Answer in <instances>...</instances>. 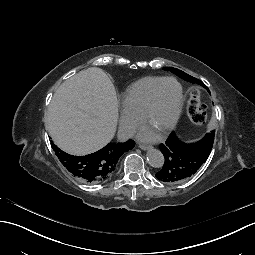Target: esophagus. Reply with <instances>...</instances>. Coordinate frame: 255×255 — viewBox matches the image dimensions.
Segmentation results:
<instances>
[{
	"mask_svg": "<svg viewBox=\"0 0 255 255\" xmlns=\"http://www.w3.org/2000/svg\"><path fill=\"white\" fill-rule=\"evenodd\" d=\"M139 147H140L142 150H149V149L152 148L151 146L145 145V144H140Z\"/></svg>",
	"mask_w": 255,
	"mask_h": 255,
	"instance_id": "1",
	"label": "esophagus"
}]
</instances>
